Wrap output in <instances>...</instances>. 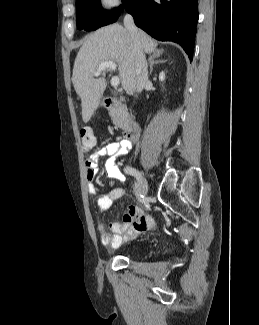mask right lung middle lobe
<instances>
[{"mask_svg": "<svg viewBox=\"0 0 259 325\" xmlns=\"http://www.w3.org/2000/svg\"><path fill=\"white\" fill-rule=\"evenodd\" d=\"M127 0H122L125 4ZM122 5L111 11L103 10L100 0H76L77 28L87 31L114 23L119 18Z\"/></svg>", "mask_w": 259, "mask_h": 325, "instance_id": "1", "label": "right lung middle lobe"}]
</instances>
